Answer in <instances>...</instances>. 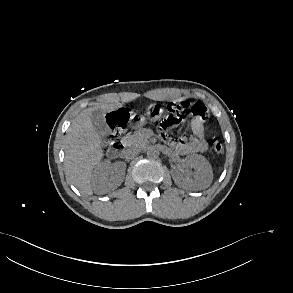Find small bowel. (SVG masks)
Segmentation results:
<instances>
[{
  "label": "small bowel",
  "instance_id": "c3829d8e",
  "mask_svg": "<svg viewBox=\"0 0 293 293\" xmlns=\"http://www.w3.org/2000/svg\"><path fill=\"white\" fill-rule=\"evenodd\" d=\"M192 136L188 141L183 138L172 140L171 146L180 154H193L203 152L208 144L205 138L203 122L199 118H193L190 122Z\"/></svg>",
  "mask_w": 293,
  "mask_h": 293
}]
</instances>
